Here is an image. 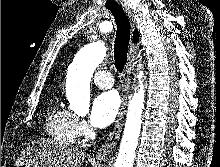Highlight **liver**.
Wrapping results in <instances>:
<instances>
[{
  "label": "liver",
  "mask_w": 220,
  "mask_h": 167,
  "mask_svg": "<svg viewBox=\"0 0 220 167\" xmlns=\"http://www.w3.org/2000/svg\"><path fill=\"white\" fill-rule=\"evenodd\" d=\"M85 158V152L78 148L41 138L21 152L15 165L26 162L33 167H81Z\"/></svg>",
  "instance_id": "liver-1"
}]
</instances>
